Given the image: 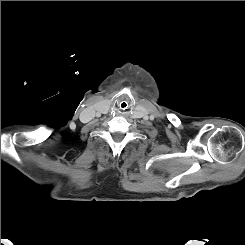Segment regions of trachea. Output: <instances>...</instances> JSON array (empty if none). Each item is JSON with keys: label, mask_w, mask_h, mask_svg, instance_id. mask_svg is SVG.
Wrapping results in <instances>:
<instances>
[{"label": "trachea", "mask_w": 245, "mask_h": 245, "mask_svg": "<svg viewBox=\"0 0 245 245\" xmlns=\"http://www.w3.org/2000/svg\"><path fill=\"white\" fill-rule=\"evenodd\" d=\"M118 107L121 111H126L129 108V102L123 100L119 103Z\"/></svg>", "instance_id": "1"}]
</instances>
